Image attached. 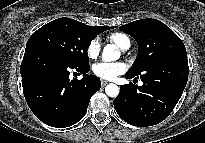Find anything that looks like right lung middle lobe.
<instances>
[{"mask_svg":"<svg viewBox=\"0 0 205 143\" xmlns=\"http://www.w3.org/2000/svg\"><path fill=\"white\" fill-rule=\"evenodd\" d=\"M97 36L90 26L71 18H58L35 31L26 47H40L58 55L70 65L88 67L90 42Z\"/></svg>","mask_w":205,"mask_h":143,"instance_id":"dd1d6c3e","label":"right lung middle lobe"}]
</instances>
